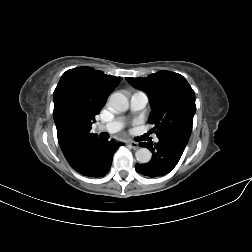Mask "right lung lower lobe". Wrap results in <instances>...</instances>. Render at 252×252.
<instances>
[{"mask_svg":"<svg viewBox=\"0 0 252 252\" xmlns=\"http://www.w3.org/2000/svg\"><path fill=\"white\" fill-rule=\"evenodd\" d=\"M124 143L97 137L84 139L64 155L70 166L83 176L98 178L110 170L116 150Z\"/></svg>","mask_w":252,"mask_h":252,"instance_id":"obj_1","label":"right lung lower lobe"}]
</instances>
